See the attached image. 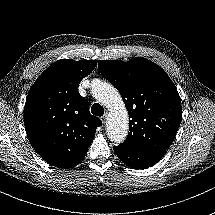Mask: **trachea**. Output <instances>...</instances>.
<instances>
[{"instance_id":"1","label":"trachea","mask_w":215,"mask_h":215,"mask_svg":"<svg viewBox=\"0 0 215 215\" xmlns=\"http://www.w3.org/2000/svg\"><path fill=\"white\" fill-rule=\"evenodd\" d=\"M91 112L93 115L100 117L104 114V108L100 104L94 103L91 107Z\"/></svg>"}]
</instances>
